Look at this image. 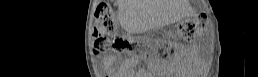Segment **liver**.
Here are the masks:
<instances>
[{
  "label": "liver",
  "mask_w": 258,
  "mask_h": 77,
  "mask_svg": "<svg viewBox=\"0 0 258 77\" xmlns=\"http://www.w3.org/2000/svg\"><path fill=\"white\" fill-rule=\"evenodd\" d=\"M119 11L123 17V22L126 24L128 21L135 20H149V14L145 1L139 0H119ZM128 16V17H127ZM178 19V18H176Z\"/></svg>",
  "instance_id": "6515ba94"
}]
</instances>
